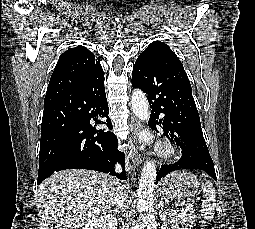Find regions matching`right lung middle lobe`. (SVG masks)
Here are the masks:
<instances>
[{"mask_svg":"<svg viewBox=\"0 0 255 229\" xmlns=\"http://www.w3.org/2000/svg\"><path fill=\"white\" fill-rule=\"evenodd\" d=\"M70 122L66 118L52 121L41 129L39 165L49 168L53 165L62 147Z\"/></svg>","mask_w":255,"mask_h":229,"instance_id":"1","label":"right lung middle lobe"}]
</instances>
